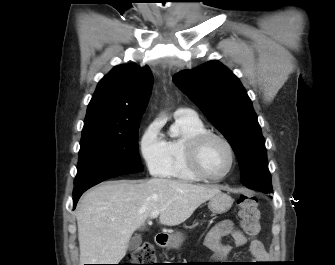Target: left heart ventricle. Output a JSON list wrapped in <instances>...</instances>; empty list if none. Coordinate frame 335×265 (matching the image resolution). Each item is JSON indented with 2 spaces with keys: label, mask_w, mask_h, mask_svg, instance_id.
<instances>
[{
  "label": "left heart ventricle",
  "mask_w": 335,
  "mask_h": 265,
  "mask_svg": "<svg viewBox=\"0 0 335 265\" xmlns=\"http://www.w3.org/2000/svg\"><path fill=\"white\" fill-rule=\"evenodd\" d=\"M230 161L226 146L217 139H211L203 146L200 154V163L203 170L211 176L223 174Z\"/></svg>",
  "instance_id": "obj_1"
}]
</instances>
